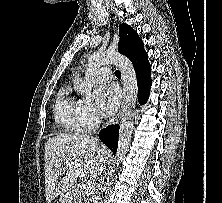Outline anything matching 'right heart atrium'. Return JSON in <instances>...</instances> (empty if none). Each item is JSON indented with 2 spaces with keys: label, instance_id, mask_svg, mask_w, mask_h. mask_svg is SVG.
<instances>
[{
  "label": "right heart atrium",
  "instance_id": "d8ad5b80",
  "mask_svg": "<svg viewBox=\"0 0 222 203\" xmlns=\"http://www.w3.org/2000/svg\"><path fill=\"white\" fill-rule=\"evenodd\" d=\"M77 109L83 127L91 129L98 121V114L92 103L86 99L77 100Z\"/></svg>",
  "mask_w": 222,
  "mask_h": 203
}]
</instances>
